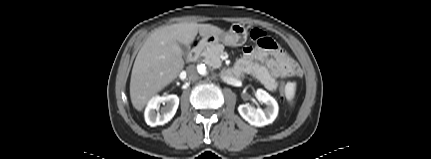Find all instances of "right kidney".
I'll list each match as a JSON object with an SVG mask.
<instances>
[{
	"instance_id": "1",
	"label": "right kidney",
	"mask_w": 431,
	"mask_h": 159,
	"mask_svg": "<svg viewBox=\"0 0 431 159\" xmlns=\"http://www.w3.org/2000/svg\"><path fill=\"white\" fill-rule=\"evenodd\" d=\"M164 106L160 108V105ZM179 105L177 95L155 96L153 97L145 110V121L151 127L164 125L175 115Z\"/></svg>"
}]
</instances>
